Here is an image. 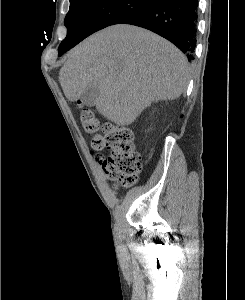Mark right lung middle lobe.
Wrapping results in <instances>:
<instances>
[{
	"instance_id": "1",
	"label": "right lung middle lobe",
	"mask_w": 245,
	"mask_h": 300,
	"mask_svg": "<svg viewBox=\"0 0 245 300\" xmlns=\"http://www.w3.org/2000/svg\"><path fill=\"white\" fill-rule=\"evenodd\" d=\"M153 0H70L65 17L67 36L59 46V56L84 38L107 26L118 24Z\"/></svg>"
}]
</instances>
